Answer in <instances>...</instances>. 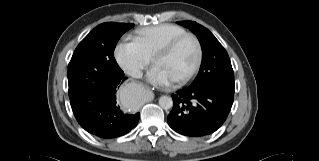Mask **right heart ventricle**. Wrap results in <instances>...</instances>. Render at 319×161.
<instances>
[{"label":"right heart ventricle","mask_w":319,"mask_h":161,"mask_svg":"<svg viewBox=\"0 0 319 161\" xmlns=\"http://www.w3.org/2000/svg\"><path fill=\"white\" fill-rule=\"evenodd\" d=\"M184 33H186L184 28L165 23L137 30L133 41L144 55L151 60L164 44Z\"/></svg>","instance_id":"obj_1"}]
</instances>
